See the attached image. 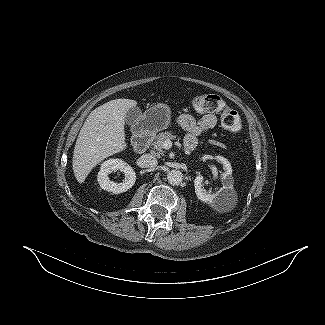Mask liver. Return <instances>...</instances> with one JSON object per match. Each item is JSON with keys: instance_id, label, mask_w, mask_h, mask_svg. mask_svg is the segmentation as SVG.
I'll return each mask as SVG.
<instances>
[{"instance_id": "6515ba94", "label": "liver", "mask_w": 325, "mask_h": 325, "mask_svg": "<svg viewBox=\"0 0 325 325\" xmlns=\"http://www.w3.org/2000/svg\"><path fill=\"white\" fill-rule=\"evenodd\" d=\"M137 102L111 100L94 109L84 122L73 153V172L83 183L91 170L105 158L126 149L125 115Z\"/></svg>"}]
</instances>
